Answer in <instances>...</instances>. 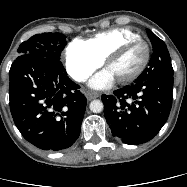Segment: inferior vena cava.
I'll return each mask as SVG.
<instances>
[{
    "label": "inferior vena cava",
    "instance_id": "1",
    "mask_svg": "<svg viewBox=\"0 0 187 187\" xmlns=\"http://www.w3.org/2000/svg\"><path fill=\"white\" fill-rule=\"evenodd\" d=\"M86 75L85 74H80V73H78V74H76L75 76H74V79L76 80V81H79V82H81V81H84L85 79H86Z\"/></svg>",
    "mask_w": 187,
    "mask_h": 187
}]
</instances>
